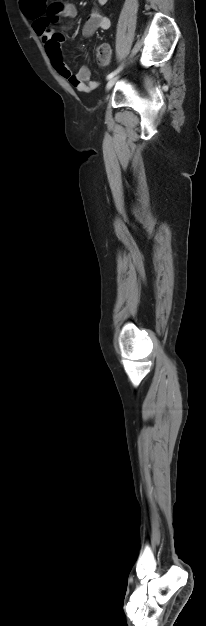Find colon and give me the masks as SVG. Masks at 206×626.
<instances>
[{
	"label": "colon",
	"instance_id": "obj_1",
	"mask_svg": "<svg viewBox=\"0 0 206 626\" xmlns=\"http://www.w3.org/2000/svg\"><path fill=\"white\" fill-rule=\"evenodd\" d=\"M110 56H111V50L107 44H101L98 46L96 50V60L99 63L101 64L107 63L110 59Z\"/></svg>",
	"mask_w": 206,
	"mask_h": 626
}]
</instances>
